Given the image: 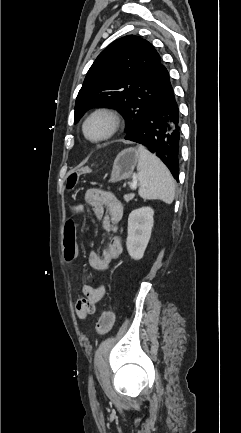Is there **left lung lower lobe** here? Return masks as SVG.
Listing matches in <instances>:
<instances>
[{
    "instance_id": "obj_1",
    "label": "left lung lower lobe",
    "mask_w": 241,
    "mask_h": 433,
    "mask_svg": "<svg viewBox=\"0 0 241 433\" xmlns=\"http://www.w3.org/2000/svg\"><path fill=\"white\" fill-rule=\"evenodd\" d=\"M125 139L146 146L163 161L174 178L178 180L180 117L169 76L162 94L136 129Z\"/></svg>"
}]
</instances>
